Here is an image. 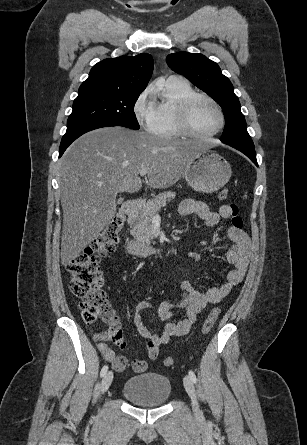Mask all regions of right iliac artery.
<instances>
[{"instance_id": "1", "label": "right iliac artery", "mask_w": 307, "mask_h": 445, "mask_svg": "<svg viewBox=\"0 0 307 445\" xmlns=\"http://www.w3.org/2000/svg\"><path fill=\"white\" fill-rule=\"evenodd\" d=\"M107 370H108V366L104 365L100 372L101 377H103L107 373Z\"/></svg>"}]
</instances>
